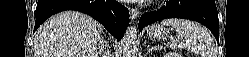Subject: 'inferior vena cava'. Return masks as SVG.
<instances>
[{"label":"inferior vena cava","mask_w":249,"mask_h":57,"mask_svg":"<svg viewBox=\"0 0 249 57\" xmlns=\"http://www.w3.org/2000/svg\"><path fill=\"white\" fill-rule=\"evenodd\" d=\"M102 52V57H111L110 54H109V49L106 47L103 48L102 46L100 47V53Z\"/></svg>","instance_id":"1"}]
</instances>
